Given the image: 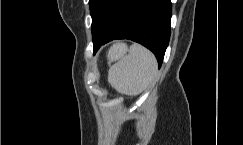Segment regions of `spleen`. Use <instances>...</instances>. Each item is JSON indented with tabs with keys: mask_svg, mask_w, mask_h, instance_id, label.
<instances>
[{
	"mask_svg": "<svg viewBox=\"0 0 243 145\" xmlns=\"http://www.w3.org/2000/svg\"><path fill=\"white\" fill-rule=\"evenodd\" d=\"M127 51V49H126ZM118 54L113 48L109 51L110 61L118 59L108 71L110 85L123 93L137 95L142 93L155 78L158 65L153 53L139 44H133L126 53Z\"/></svg>",
	"mask_w": 243,
	"mask_h": 145,
	"instance_id": "spleen-1",
	"label": "spleen"
}]
</instances>
